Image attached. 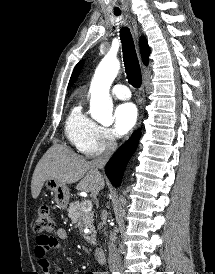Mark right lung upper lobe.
<instances>
[{
  "mask_svg": "<svg viewBox=\"0 0 215 274\" xmlns=\"http://www.w3.org/2000/svg\"><path fill=\"white\" fill-rule=\"evenodd\" d=\"M140 50H141V55H142L143 62H144L145 65H147L148 61H149L150 50H149L146 39L143 38V37H141V39H140ZM82 66H83V61H80L75 66V68L73 70V73H72V76H71L70 81H69L68 89L72 86L73 82L76 80Z\"/></svg>",
  "mask_w": 215,
  "mask_h": 274,
  "instance_id": "right-lung-upper-lobe-1",
  "label": "right lung upper lobe"
}]
</instances>
